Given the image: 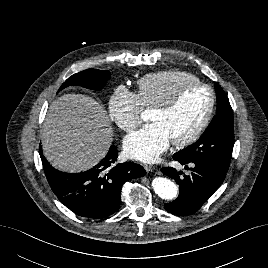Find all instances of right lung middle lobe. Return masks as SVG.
<instances>
[{"label": "right lung middle lobe", "instance_id": "dd1d6c3e", "mask_svg": "<svg viewBox=\"0 0 268 268\" xmlns=\"http://www.w3.org/2000/svg\"><path fill=\"white\" fill-rule=\"evenodd\" d=\"M111 74L107 70L87 69L68 78L59 91L70 85H78L88 89L100 90L110 79Z\"/></svg>", "mask_w": 268, "mask_h": 268}]
</instances>
